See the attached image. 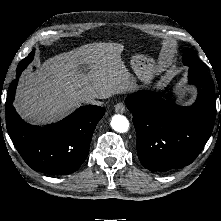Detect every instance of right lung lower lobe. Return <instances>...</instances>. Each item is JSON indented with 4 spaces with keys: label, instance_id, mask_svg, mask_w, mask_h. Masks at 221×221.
Listing matches in <instances>:
<instances>
[{
    "label": "right lung lower lobe",
    "instance_id": "98d812e1",
    "mask_svg": "<svg viewBox=\"0 0 221 221\" xmlns=\"http://www.w3.org/2000/svg\"><path fill=\"white\" fill-rule=\"evenodd\" d=\"M17 83L15 79L10 84L5 103L6 127L15 148L35 171L50 175L75 172L89 153L93 132L105 109L82 106L58 123L44 128L32 126L13 106Z\"/></svg>",
    "mask_w": 221,
    "mask_h": 221
}]
</instances>
